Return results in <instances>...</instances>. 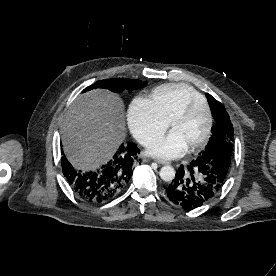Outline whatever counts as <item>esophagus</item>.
Returning <instances> with one entry per match:
<instances>
[{"instance_id": "34e87169", "label": "esophagus", "mask_w": 276, "mask_h": 276, "mask_svg": "<svg viewBox=\"0 0 276 276\" xmlns=\"http://www.w3.org/2000/svg\"><path fill=\"white\" fill-rule=\"evenodd\" d=\"M154 161H155L156 163H158V164H161V165H168V164H170L169 161H167V160H162V159H154Z\"/></svg>"}]
</instances>
